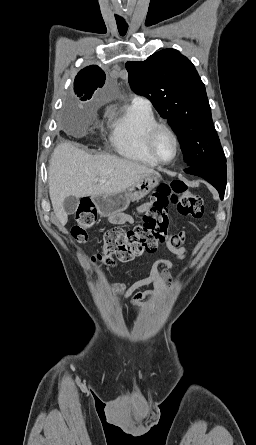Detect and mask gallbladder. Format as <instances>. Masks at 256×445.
<instances>
[{
    "label": "gallbladder",
    "instance_id": "obj_1",
    "mask_svg": "<svg viewBox=\"0 0 256 445\" xmlns=\"http://www.w3.org/2000/svg\"><path fill=\"white\" fill-rule=\"evenodd\" d=\"M79 199L75 196H68L63 201V207L67 214H74L78 208Z\"/></svg>",
    "mask_w": 256,
    "mask_h": 445
}]
</instances>
